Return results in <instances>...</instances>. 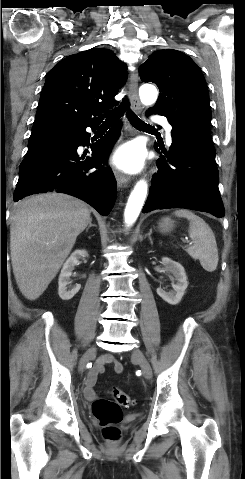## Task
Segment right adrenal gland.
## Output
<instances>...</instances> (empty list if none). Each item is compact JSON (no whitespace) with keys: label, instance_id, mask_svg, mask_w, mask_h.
Wrapping results in <instances>:
<instances>
[{"label":"right adrenal gland","instance_id":"obj_1","mask_svg":"<svg viewBox=\"0 0 245 479\" xmlns=\"http://www.w3.org/2000/svg\"><path fill=\"white\" fill-rule=\"evenodd\" d=\"M92 226H96L94 224H92V222L89 223V226L86 228V232H88V230L92 227Z\"/></svg>","mask_w":245,"mask_h":479}]
</instances>
